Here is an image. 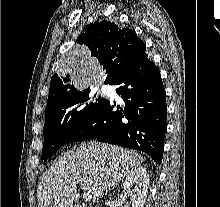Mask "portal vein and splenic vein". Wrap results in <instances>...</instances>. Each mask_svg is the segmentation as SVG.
I'll return each instance as SVG.
<instances>
[{
    "instance_id": "1",
    "label": "portal vein and splenic vein",
    "mask_w": 220,
    "mask_h": 207,
    "mask_svg": "<svg viewBox=\"0 0 220 207\" xmlns=\"http://www.w3.org/2000/svg\"><path fill=\"white\" fill-rule=\"evenodd\" d=\"M70 183H74V184H78V181H69ZM83 199L86 201V202H88V201H90L91 199H92V194L90 193V192H85L84 194H83Z\"/></svg>"
}]
</instances>
